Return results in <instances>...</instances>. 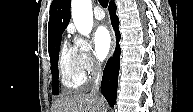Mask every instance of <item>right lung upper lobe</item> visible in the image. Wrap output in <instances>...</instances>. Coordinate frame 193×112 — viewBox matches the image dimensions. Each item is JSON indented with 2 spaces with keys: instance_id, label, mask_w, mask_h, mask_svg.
<instances>
[{
  "instance_id": "right-lung-upper-lobe-1",
  "label": "right lung upper lobe",
  "mask_w": 193,
  "mask_h": 112,
  "mask_svg": "<svg viewBox=\"0 0 193 112\" xmlns=\"http://www.w3.org/2000/svg\"><path fill=\"white\" fill-rule=\"evenodd\" d=\"M71 0H53L48 24V46L64 32L70 21Z\"/></svg>"
}]
</instances>
